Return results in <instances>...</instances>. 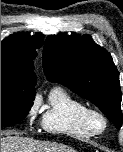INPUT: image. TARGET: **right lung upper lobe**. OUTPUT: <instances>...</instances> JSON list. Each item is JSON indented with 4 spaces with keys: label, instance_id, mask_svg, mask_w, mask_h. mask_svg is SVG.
<instances>
[{
    "label": "right lung upper lobe",
    "instance_id": "right-lung-upper-lobe-1",
    "mask_svg": "<svg viewBox=\"0 0 123 152\" xmlns=\"http://www.w3.org/2000/svg\"><path fill=\"white\" fill-rule=\"evenodd\" d=\"M42 38L17 33L1 41V76H10L25 86L34 87L33 60Z\"/></svg>",
    "mask_w": 123,
    "mask_h": 152
}]
</instances>
